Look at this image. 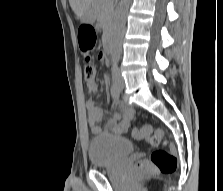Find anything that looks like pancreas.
<instances>
[{"label":"pancreas","instance_id":"cf45deb5","mask_svg":"<svg viewBox=\"0 0 223 191\" xmlns=\"http://www.w3.org/2000/svg\"><path fill=\"white\" fill-rule=\"evenodd\" d=\"M92 8L103 30L107 31L113 16V3L111 0H93Z\"/></svg>","mask_w":223,"mask_h":191}]
</instances>
